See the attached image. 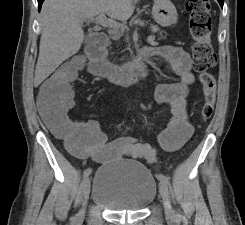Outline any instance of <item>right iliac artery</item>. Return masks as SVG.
I'll return each instance as SVG.
<instances>
[{
    "mask_svg": "<svg viewBox=\"0 0 245 225\" xmlns=\"http://www.w3.org/2000/svg\"><path fill=\"white\" fill-rule=\"evenodd\" d=\"M91 172H92V170H91L90 168H87V169L84 171V173H83L84 177L89 176V175L91 174Z\"/></svg>",
    "mask_w": 245,
    "mask_h": 225,
    "instance_id": "obj_1",
    "label": "right iliac artery"
}]
</instances>
